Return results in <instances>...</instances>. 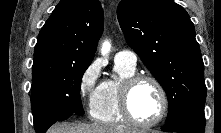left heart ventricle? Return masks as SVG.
Instances as JSON below:
<instances>
[{
  "label": "left heart ventricle",
  "mask_w": 221,
  "mask_h": 133,
  "mask_svg": "<svg viewBox=\"0 0 221 133\" xmlns=\"http://www.w3.org/2000/svg\"><path fill=\"white\" fill-rule=\"evenodd\" d=\"M132 114L140 121H151L161 109L160 94L155 85L149 81L138 83L130 98Z\"/></svg>",
  "instance_id": "b2bd125f"
}]
</instances>
